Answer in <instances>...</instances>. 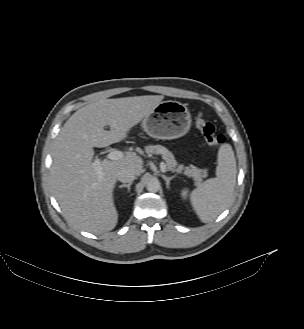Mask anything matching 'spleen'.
Returning <instances> with one entry per match:
<instances>
[{"label": "spleen", "mask_w": 304, "mask_h": 329, "mask_svg": "<svg viewBox=\"0 0 304 329\" xmlns=\"http://www.w3.org/2000/svg\"><path fill=\"white\" fill-rule=\"evenodd\" d=\"M236 173L232 146L223 144L218 151L216 177L200 184L190 196L191 205L202 222L213 221L229 205L236 185Z\"/></svg>", "instance_id": "obj_1"}]
</instances>
